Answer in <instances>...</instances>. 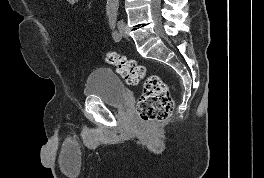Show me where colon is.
<instances>
[{"mask_svg":"<svg viewBox=\"0 0 264 178\" xmlns=\"http://www.w3.org/2000/svg\"><path fill=\"white\" fill-rule=\"evenodd\" d=\"M105 60L128 84L144 82L136 105L137 113L144 122H158L170 117L174 103L166 83L159 76L149 75L144 65L116 52H108Z\"/></svg>","mask_w":264,"mask_h":178,"instance_id":"obj_1","label":"colon"}]
</instances>
